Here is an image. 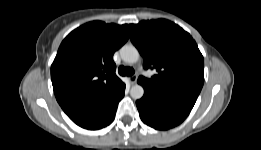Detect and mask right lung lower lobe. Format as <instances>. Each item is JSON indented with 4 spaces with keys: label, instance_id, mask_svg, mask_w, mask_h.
I'll use <instances>...</instances> for the list:
<instances>
[{
    "label": "right lung lower lobe",
    "instance_id": "1",
    "mask_svg": "<svg viewBox=\"0 0 261 150\" xmlns=\"http://www.w3.org/2000/svg\"><path fill=\"white\" fill-rule=\"evenodd\" d=\"M123 96L124 94L118 97L115 101H113L99 113L77 125L88 130H97L109 125L115 118L118 103L123 98Z\"/></svg>",
    "mask_w": 261,
    "mask_h": 150
}]
</instances>
